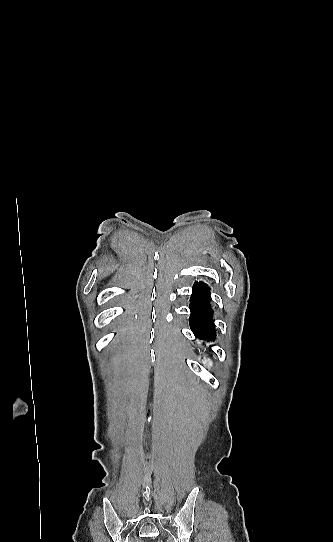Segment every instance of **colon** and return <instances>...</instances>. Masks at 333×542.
I'll return each mask as SVG.
<instances>
[{
    "instance_id": "colon-1",
    "label": "colon",
    "mask_w": 333,
    "mask_h": 542,
    "mask_svg": "<svg viewBox=\"0 0 333 542\" xmlns=\"http://www.w3.org/2000/svg\"><path fill=\"white\" fill-rule=\"evenodd\" d=\"M146 542H159L156 536H149Z\"/></svg>"
}]
</instances>
